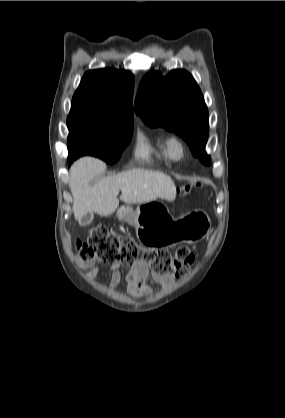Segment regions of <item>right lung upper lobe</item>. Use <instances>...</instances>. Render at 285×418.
Returning <instances> with one entry per match:
<instances>
[{"instance_id": "obj_1", "label": "right lung upper lobe", "mask_w": 285, "mask_h": 418, "mask_svg": "<svg viewBox=\"0 0 285 418\" xmlns=\"http://www.w3.org/2000/svg\"><path fill=\"white\" fill-rule=\"evenodd\" d=\"M134 75L129 71L98 69L84 74L69 116L88 117L133 126Z\"/></svg>"}]
</instances>
